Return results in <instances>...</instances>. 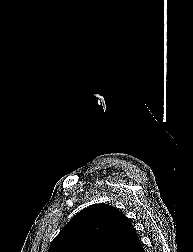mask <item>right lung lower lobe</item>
Segmentation results:
<instances>
[{
	"mask_svg": "<svg viewBox=\"0 0 193 252\" xmlns=\"http://www.w3.org/2000/svg\"><path fill=\"white\" fill-rule=\"evenodd\" d=\"M133 252H144V249L142 247V244L140 243L134 250Z\"/></svg>",
	"mask_w": 193,
	"mask_h": 252,
	"instance_id": "obj_1",
	"label": "right lung lower lobe"
}]
</instances>
